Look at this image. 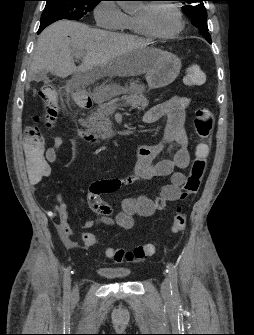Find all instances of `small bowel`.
<instances>
[{
  "label": "small bowel",
  "instance_id": "obj_1",
  "mask_svg": "<svg viewBox=\"0 0 254 335\" xmlns=\"http://www.w3.org/2000/svg\"><path fill=\"white\" fill-rule=\"evenodd\" d=\"M189 104V98L176 95L147 111L144 116V122L147 124L156 123L162 117L167 118L161 139L151 144H138V162L135 174L105 178L92 183L88 204L91 210L98 215V219L87 220L84 224L85 228L104 224L129 230L133 227L137 216H152L155 212L163 210L168 202L180 200L181 189L185 182V174L180 170L186 168L190 161L188 135L184 126ZM78 144L77 139L71 141L74 152ZM63 145L64 138L59 135L55 136L43 159H47L49 165L55 163ZM164 153L168 157L156 161ZM163 176L169 177V182L160 188L155 197L141 195L125 198L121 202L120 210H115L102 197L103 194L116 192L122 187ZM28 179L31 184H37L44 178ZM49 216L56 219V228L64 245L68 248H76L78 244L73 238V232L68 222L67 207L60 196L57 197V204L49 212Z\"/></svg>",
  "mask_w": 254,
  "mask_h": 335
}]
</instances>
